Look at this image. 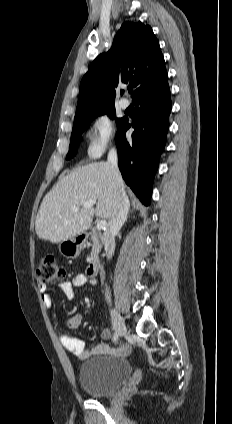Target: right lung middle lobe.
Here are the masks:
<instances>
[{
  "label": "right lung middle lobe",
  "mask_w": 232,
  "mask_h": 424,
  "mask_svg": "<svg viewBox=\"0 0 232 424\" xmlns=\"http://www.w3.org/2000/svg\"><path fill=\"white\" fill-rule=\"evenodd\" d=\"M107 114L110 118H115V108L114 107H108L101 110H98L88 116L81 117L79 119L74 120L73 124V130L71 134V141H70V147L69 152L66 156V159H70L74 157L77 153L78 145L80 142L81 135L83 131L90 125V123L99 115ZM124 119H117L116 124L118 127L121 126Z\"/></svg>",
  "instance_id": "right-lung-middle-lobe-1"
}]
</instances>
